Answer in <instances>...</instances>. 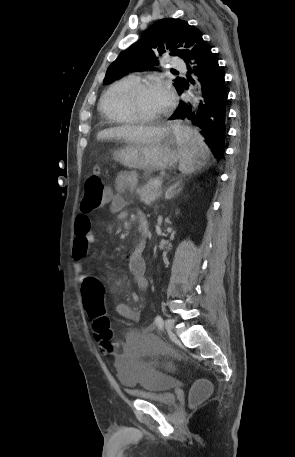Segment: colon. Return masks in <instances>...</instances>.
I'll return each mask as SVG.
<instances>
[{
  "label": "colon",
  "mask_w": 295,
  "mask_h": 457,
  "mask_svg": "<svg viewBox=\"0 0 295 457\" xmlns=\"http://www.w3.org/2000/svg\"><path fill=\"white\" fill-rule=\"evenodd\" d=\"M110 193L106 188L101 173L96 169L85 181V192L81 203L83 212H91L104 206L109 200ZM83 298L86 312L92 321L95 339L101 355L110 356L111 360H120L119 348L112 341L110 321L106 315L103 303L102 277L95 276L83 285ZM210 391L207 382H197L191 390V401L199 402Z\"/></svg>",
  "instance_id": "colon-1"
}]
</instances>
